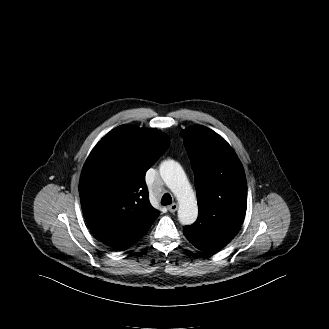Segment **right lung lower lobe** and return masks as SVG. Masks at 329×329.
<instances>
[{"instance_id":"right-lung-lower-lobe-1","label":"right lung lower lobe","mask_w":329,"mask_h":329,"mask_svg":"<svg viewBox=\"0 0 329 329\" xmlns=\"http://www.w3.org/2000/svg\"><path fill=\"white\" fill-rule=\"evenodd\" d=\"M130 246L117 247V248H113V249L116 250V251H122V250H125V249L129 248Z\"/></svg>"}]
</instances>
